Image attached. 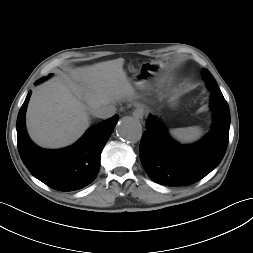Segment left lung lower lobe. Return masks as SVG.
<instances>
[{
	"mask_svg": "<svg viewBox=\"0 0 253 253\" xmlns=\"http://www.w3.org/2000/svg\"><path fill=\"white\" fill-rule=\"evenodd\" d=\"M213 126L200 142L183 146L174 142L156 118L150 115L139 155L149 177L162 185L193 184L219 165L228 145L230 111L221 93L211 92Z\"/></svg>",
	"mask_w": 253,
	"mask_h": 253,
	"instance_id": "left-lung-lower-lobe-1",
	"label": "left lung lower lobe"
}]
</instances>
